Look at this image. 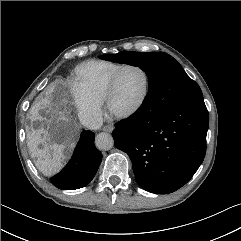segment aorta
Segmentation results:
<instances>
[{"mask_svg":"<svg viewBox=\"0 0 241 241\" xmlns=\"http://www.w3.org/2000/svg\"><path fill=\"white\" fill-rule=\"evenodd\" d=\"M95 144L101 150H110L114 146V140L111 134L101 132L96 136Z\"/></svg>","mask_w":241,"mask_h":241,"instance_id":"1","label":"aorta"}]
</instances>
